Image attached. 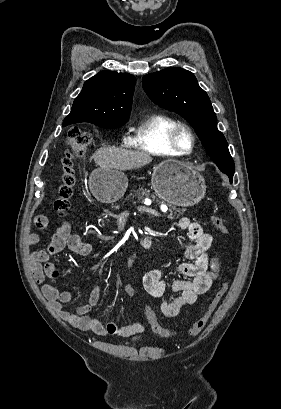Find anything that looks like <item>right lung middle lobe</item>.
I'll return each instance as SVG.
<instances>
[{
	"label": "right lung middle lobe",
	"mask_w": 281,
	"mask_h": 409,
	"mask_svg": "<svg viewBox=\"0 0 281 409\" xmlns=\"http://www.w3.org/2000/svg\"><path fill=\"white\" fill-rule=\"evenodd\" d=\"M125 123L126 122L124 123H102V124H95V125L100 126L102 128H118V127L123 126Z\"/></svg>",
	"instance_id": "dd1d6c3e"
}]
</instances>
